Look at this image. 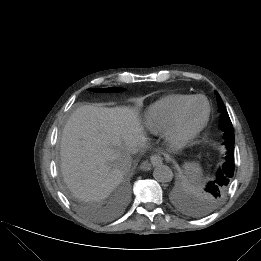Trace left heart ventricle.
Instances as JSON below:
<instances>
[{"mask_svg": "<svg viewBox=\"0 0 261 261\" xmlns=\"http://www.w3.org/2000/svg\"><path fill=\"white\" fill-rule=\"evenodd\" d=\"M206 111V104L204 100L197 99L193 101L185 110L181 125L180 131L182 133L190 132L194 129L203 119Z\"/></svg>", "mask_w": 261, "mask_h": 261, "instance_id": "b2bd125f", "label": "left heart ventricle"}]
</instances>
